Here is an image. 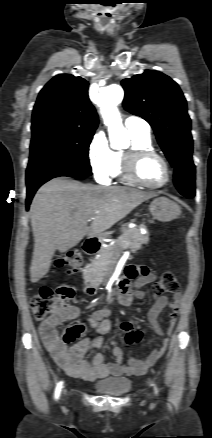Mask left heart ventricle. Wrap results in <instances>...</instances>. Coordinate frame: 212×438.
<instances>
[{"instance_id":"left-heart-ventricle-1","label":"left heart ventricle","mask_w":212,"mask_h":438,"mask_svg":"<svg viewBox=\"0 0 212 438\" xmlns=\"http://www.w3.org/2000/svg\"><path fill=\"white\" fill-rule=\"evenodd\" d=\"M138 175L143 181L150 184H160L166 178L163 164L155 157H148L141 161Z\"/></svg>"}]
</instances>
